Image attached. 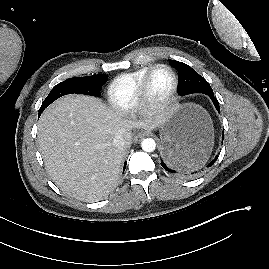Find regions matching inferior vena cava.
Masks as SVG:
<instances>
[{
  "mask_svg": "<svg viewBox=\"0 0 269 269\" xmlns=\"http://www.w3.org/2000/svg\"><path fill=\"white\" fill-rule=\"evenodd\" d=\"M112 145L116 148H122L125 145V139L121 135H117L113 141Z\"/></svg>",
  "mask_w": 269,
  "mask_h": 269,
  "instance_id": "602c4592",
  "label": "inferior vena cava"
}]
</instances>
